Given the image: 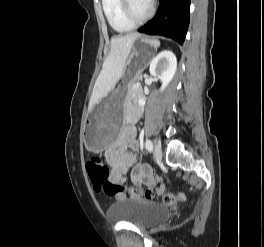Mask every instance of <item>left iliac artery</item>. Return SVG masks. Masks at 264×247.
I'll return each instance as SVG.
<instances>
[{"mask_svg": "<svg viewBox=\"0 0 264 247\" xmlns=\"http://www.w3.org/2000/svg\"><path fill=\"white\" fill-rule=\"evenodd\" d=\"M145 146H146V149H147L149 152L152 151V149H153V144H152V141H151L150 139H147V140L145 141Z\"/></svg>", "mask_w": 264, "mask_h": 247, "instance_id": "left-iliac-artery-1", "label": "left iliac artery"}]
</instances>
